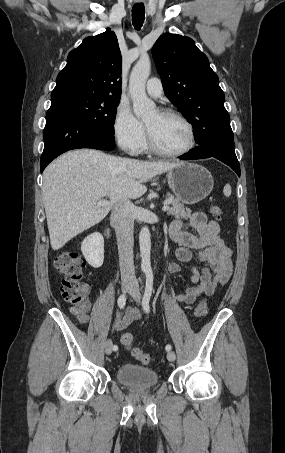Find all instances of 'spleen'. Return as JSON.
<instances>
[{
    "label": "spleen",
    "mask_w": 285,
    "mask_h": 453,
    "mask_svg": "<svg viewBox=\"0 0 285 453\" xmlns=\"http://www.w3.org/2000/svg\"><path fill=\"white\" fill-rule=\"evenodd\" d=\"M223 193L226 197H229L231 195V186L230 184H226L223 188Z\"/></svg>",
    "instance_id": "1"
}]
</instances>
